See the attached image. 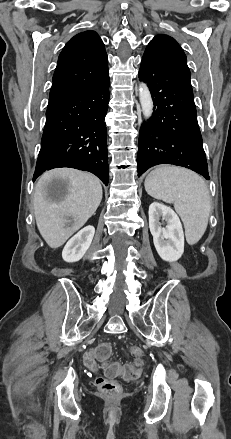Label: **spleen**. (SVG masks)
Here are the masks:
<instances>
[{
    "mask_svg": "<svg viewBox=\"0 0 231 439\" xmlns=\"http://www.w3.org/2000/svg\"><path fill=\"white\" fill-rule=\"evenodd\" d=\"M145 190L155 199L174 203L189 244L200 240L208 224L210 195L198 174L179 167H158L146 177Z\"/></svg>",
    "mask_w": 231,
    "mask_h": 439,
    "instance_id": "spleen-1",
    "label": "spleen"
}]
</instances>
